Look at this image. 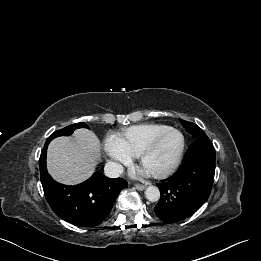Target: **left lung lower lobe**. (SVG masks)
I'll return each mask as SVG.
<instances>
[{"mask_svg": "<svg viewBox=\"0 0 261 261\" xmlns=\"http://www.w3.org/2000/svg\"><path fill=\"white\" fill-rule=\"evenodd\" d=\"M215 156V148L206 134L195 139L178 172L157 184L161 198L154 210L159 219L181 221L206 202L214 181Z\"/></svg>", "mask_w": 261, "mask_h": 261, "instance_id": "0a47b994", "label": "left lung lower lobe"}]
</instances>
